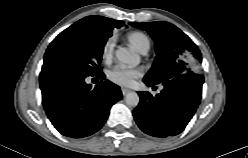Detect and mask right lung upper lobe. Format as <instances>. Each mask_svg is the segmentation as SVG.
I'll use <instances>...</instances> for the list:
<instances>
[{"label":"right lung upper lobe","instance_id":"1","mask_svg":"<svg viewBox=\"0 0 248 158\" xmlns=\"http://www.w3.org/2000/svg\"><path fill=\"white\" fill-rule=\"evenodd\" d=\"M79 21L86 25L94 35L105 39L112 35L114 27L120 28L124 25L121 20H113L102 16H88Z\"/></svg>","mask_w":248,"mask_h":158}]
</instances>
